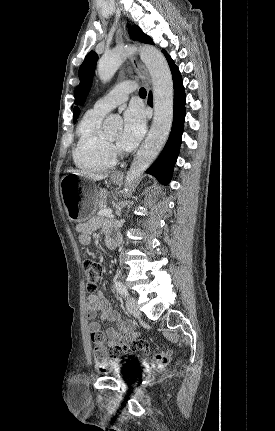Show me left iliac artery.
<instances>
[{"label":"left iliac artery","instance_id":"obj_1","mask_svg":"<svg viewBox=\"0 0 275 431\" xmlns=\"http://www.w3.org/2000/svg\"><path fill=\"white\" fill-rule=\"evenodd\" d=\"M115 288L119 292V294H121V296L125 298L128 296V291L122 282L120 281L115 282Z\"/></svg>","mask_w":275,"mask_h":431}]
</instances>
